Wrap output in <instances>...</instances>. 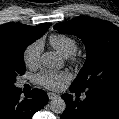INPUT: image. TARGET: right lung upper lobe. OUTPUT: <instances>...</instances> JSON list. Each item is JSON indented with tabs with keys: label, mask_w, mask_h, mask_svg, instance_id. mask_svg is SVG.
Masks as SVG:
<instances>
[{
	"label": "right lung upper lobe",
	"mask_w": 119,
	"mask_h": 119,
	"mask_svg": "<svg viewBox=\"0 0 119 119\" xmlns=\"http://www.w3.org/2000/svg\"><path fill=\"white\" fill-rule=\"evenodd\" d=\"M50 25V23H43L34 27L16 23L0 25V48L3 47L9 39L15 36L30 37L37 40L44 35ZM8 91L10 90L0 87V98Z\"/></svg>",
	"instance_id": "obj_1"
}]
</instances>
